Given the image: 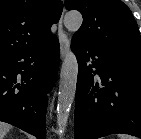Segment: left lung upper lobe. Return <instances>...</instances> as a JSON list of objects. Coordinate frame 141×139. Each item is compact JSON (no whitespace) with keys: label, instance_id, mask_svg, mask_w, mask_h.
Masks as SVG:
<instances>
[{"label":"left lung upper lobe","instance_id":"obj_1","mask_svg":"<svg viewBox=\"0 0 141 139\" xmlns=\"http://www.w3.org/2000/svg\"><path fill=\"white\" fill-rule=\"evenodd\" d=\"M83 14L74 36L119 54L141 58V37L130 9L121 0H65Z\"/></svg>","mask_w":141,"mask_h":139}]
</instances>
